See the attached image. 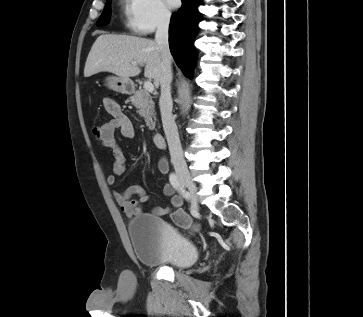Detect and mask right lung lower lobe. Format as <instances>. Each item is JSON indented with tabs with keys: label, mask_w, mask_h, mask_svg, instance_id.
I'll list each match as a JSON object with an SVG mask.
<instances>
[{
	"label": "right lung lower lobe",
	"mask_w": 363,
	"mask_h": 317,
	"mask_svg": "<svg viewBox=\"0 0 363 317\" xmlns=\"http://www.w3.org/2000/svg\"><path fill=\"white\" fill-rule=\"evenodd\" d=\"M201 0H182V7L172 16L169 29V45L178 67L190 77L194 53L193 37L199 22L197 10Z\"/></svg>",
	"instance_id": "obj_1"
}]
</instances>
